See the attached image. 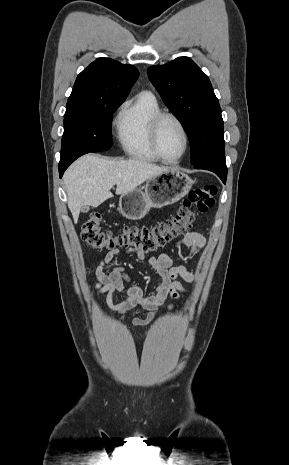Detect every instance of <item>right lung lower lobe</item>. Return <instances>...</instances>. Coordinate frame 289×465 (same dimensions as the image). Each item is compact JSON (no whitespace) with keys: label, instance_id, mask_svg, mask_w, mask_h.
<instances>
[{"label":"right lung lower lobe","instance_id":"1","mask_svg":"<svg viewBox=\"0 0 289 465\" xmlns=\"http://www.w3.org/2000/svg\"><path fill=\"white\" fill-rule=\"evenodd\" d=\"M76 159H71L69 161H61L59 162V175H60V178L62 177L64 171L68 168V166Z\"/></svg>","mask_w":289,"mask_h":465}]
</instances>
